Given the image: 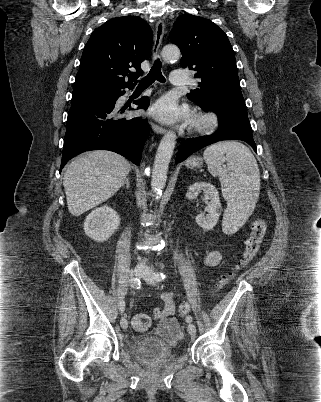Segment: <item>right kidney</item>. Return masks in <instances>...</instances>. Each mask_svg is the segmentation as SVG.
<instances>
[{"label":"right kidney","instance_id":"1","mask_svg":"<svg viewBox=\"0 0 321 402\" xmlns=\"http://www.w3.org/2000/svg\"><path fill=\"white\" fill-rule=\"evenodd\" d=\"M120 217L109 206H102L93 210L84 222V231L91 239L106 241L118 229Z\"/></svg>","mask_w":321,"mask_h":402}]
</instances>
